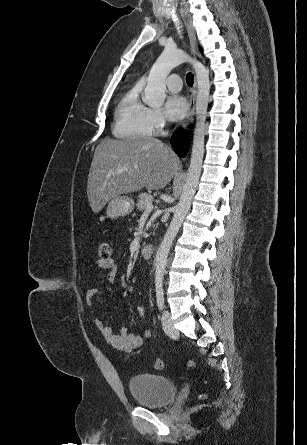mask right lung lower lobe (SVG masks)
Returning <instances> with one entry per match:
<instances>
[{"mask_svg": "<svg viewBox=\"0 0 307 445\" xmlns=\"http://www.w3.org/2000/svg\"><path fill=\"white\" fill-rule=\"evenodd\" d=\"M171 145L175 152L183 157L189 147V137L182 129H178L171 138Z\"/></svg>", "mask_w": 307, "mask_h": 445, "instance_id": "1", "label": "right lung lower lobe"}]
</instances>
